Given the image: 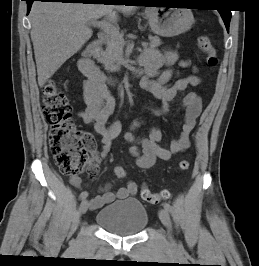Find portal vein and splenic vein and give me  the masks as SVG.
Segmentation results:
<instances>
[{
    "instance_id": "obj_1",
    "label": "portal vein and splenic vein",
    "mask_w": 259,
    "mask_h": 266,
    "mask_svg": "<svg viewBox=\"0 0 259 266\" xmlns=\"http://www.w3.org/2000/svg\"><path fill=\"white\" fill-rule=\"evenodd\" d=\"M90 24L94 27L100 28L111 37L122 38V35L119 33L118 29L105 20H92ZM147 46L148 44L146 42H142V47L146 48Z\"/></svg>"
}]
</instances>
